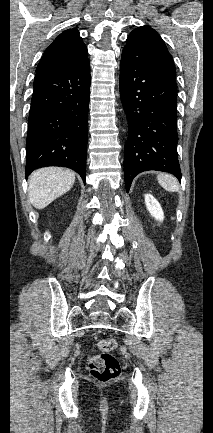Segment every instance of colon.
<instances>
[{"mask_svg":"<svg viewBox=\"0 0 213 433\" xmlns=\"http://www.w3.org/2000/svg\"><path fill=\"white\" fill-rule=\"evenodd\" d=\"M97 348L101 351L89 359V371L93 378L100 382L116 379L121 373L119 361L111 354L117 348V341L113 338L98 340Z\"/></svg>","mask_w":213,"mask_h":433,"instance_id":"colon-1","label":"colon"}]
</instances>
